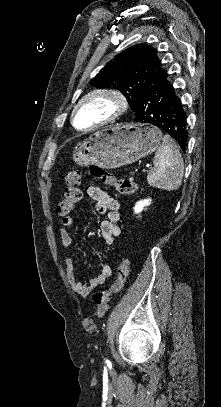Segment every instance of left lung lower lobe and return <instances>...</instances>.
Segmentation results:
<instances>
[{"label":"left lung lower lobe","mask_w":221,"mask_h":407,"mask_svg":"<svg viewBox=\"0 0 221 407\" xmlns=\"http://www.w3.org/2000/svg\"><path fill=\"white\" fill-rule=\"evenodd\" d=\"M138 100L135 121L161 128L171 135L184 151L188 139L186 113L167 73L146 86Z\"/></svg>","instance_id":"1"}]
</instances>
